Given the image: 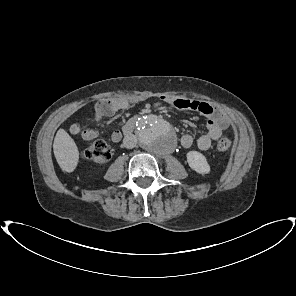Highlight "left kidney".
<instances>
[{
    "instance_id": "obj_1",
    "label": "left kidney",
    "mask_w": 296,
    "mask_h": 296,
    "mask_svg": "<svg viewBox=\"0 0 296 296\" xmlns=\"http://www.w3.org/2000/svg\"><path fill=\"white\" fill-rule=\"evenodd\" d=\"M186 156L191 169L199 174H208L210 172V166L202 153L198 151H189Z\"/></svg>"
}]
</instances>
